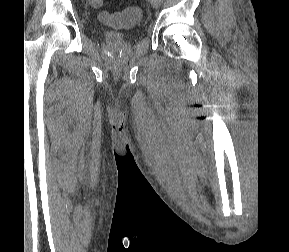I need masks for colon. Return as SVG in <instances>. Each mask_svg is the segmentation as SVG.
Listing matches in <instances>:
<instances>
[{
  "instance_id": "5ec220e1",
  "label": "colon",
  "mask_w": 289,
  "mask_h": 252,
  "mask_svg": "<svg viewBox=\"0 0 289 252\" xmlns=\"http://www.w3.org/2000/svg\"><path fill=\"white\" fill-rule=\"evenodd\" d=\"M103 0H91V4L94 7H100ZM141 17V12L138 8L130 6L124 9L122 13H102L101 19L103 22L116 26V27H128L135 24Z\"/></svg>"
}]
</instances>
